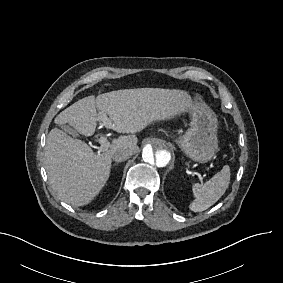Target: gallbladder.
Returning a JSON list of instances; mask_svg holds the SVG:
<instances>
[{
  "label": "gallbladder",
  "instance_id": "gallbladder-1",
  "mask_svg": "<svg viewBox=\"0 0 283 283\" xmlns=\"http://www.w3.org/2000/svg\"><path fill=\"white\" fill-rule=\"evenodd\" d=\"M65 131L71 135H75V131L73 129H71L70 127L65 128Z\"/></svg>",
  "mask_w": 283,
  "mask_h": 283
}]
</instances>
